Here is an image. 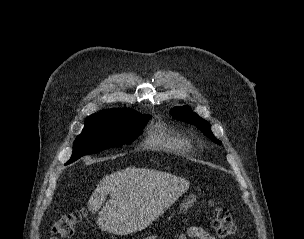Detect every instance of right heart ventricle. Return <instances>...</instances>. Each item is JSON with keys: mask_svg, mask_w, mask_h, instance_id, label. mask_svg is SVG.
I'll use <instances>...</instances> for the list:
<instances>
[{"mask_svg": "<svg viewBox=\"0 0 304 239\" xmlns=\"http://www.w3.org/2000/svg\"><path fill=\"white\" fill-rule=\"evenodd\" d=\"M146 146L161 149L175 154H186L191 150L190 141L169 130L165 125L157 124L148 133Z\"/></svg>", "mask_w": 304, "mask_h": 239, "instance_id": "right-heart-ventricle-1", "label": "right heart ventricle"}]
</instances>
